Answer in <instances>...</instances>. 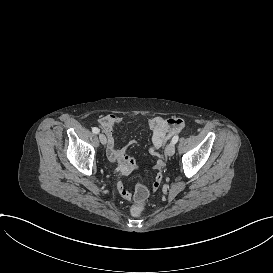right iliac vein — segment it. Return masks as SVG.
Masks as SVG:
<instances>
[{"label":"right iliac vein","mask_w":273,"mask_h":273,"mask_svg":"<svg viewBox=\"0 0 273 273\" xmlns=\"http://www.w3.org/2000/svg\"><path fill=\"white\" fill-rule=\"evenodd\" d=\"M99 139H100V142L105 145L107 143V139H106V136L104 134H99Z\"/></svg>","instance_id":"obj_1"}]
</instances>
